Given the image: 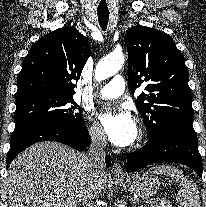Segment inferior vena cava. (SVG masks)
<instances>
[{
  "mask_svg": "<svg viewBox=\"0 0 206 207\" xmlns=\"http://www.w3.org/2000/svg\"><path fill=\"white\" fill-rule=\"evenodd\" d=\"M92 144L90 146L88 157V168L90 170L89 192L83 199V207H99L92 200L96 198L93 192L96 190L101 175L105 172V147L107 144L106 136L101 131H92L90 133Z\"/></svg>",
  "mask_w": 206,
  "mask_h": 207,
  "instance_id": "obj_1",
  "label": "inferior vena cava"
}]
</instances>
